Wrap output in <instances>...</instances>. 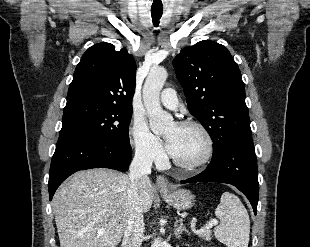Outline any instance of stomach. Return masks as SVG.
Here are the masks:
<instances>
[{"label": "stomach", "mask_w": 310, "mask_h": 247, "mask_svg": "<svg viewBox=\"0 0 310 247\" xmlns=\"http://www.w3.org/2000/svg\"><path fill=\"white\" fill-rule=\"evenodd\" d=\"M163 199L177 210H188L195 203V196L186 189L162 191Z\"/></svg>", "instance_id": "0dacf381"}]
</instances>
